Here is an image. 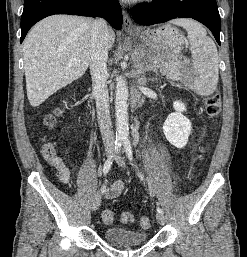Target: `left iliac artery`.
Here are the masks:
<instances>
[{"label": "left iliac artery", "mask_w": 247, "mask_h": 257, "mask_svg": "<svg viewBox=\"0 0 247 257\" xmlns=\"http://www.w3.org/2000/svg\"><path fill=\"white\" fill-rule=\"evenodd\" d=\"M123 144H124V150L126 152V155L128 157V159L130 160L131 164H133V153H132V148H131V144H130V140L128 138H124L123 139ZM138 177L143 180L144 179V175L141 172H137ZM157 211L159 213H163V210L160 207H157Z\"/></svg>", "instance_id": "left-iliac-artery-1"}]
</instances>
